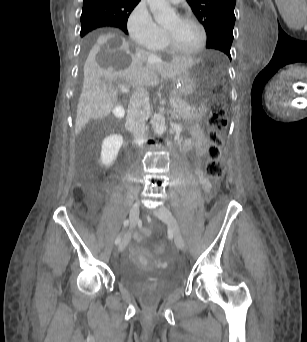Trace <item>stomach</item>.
Returning <instances> with one entry per match:
<instances>
[{"mask_svg": "<svg viewBox=\"0 0 307 342\" xmlns=\"http://www.w3.org/2000/svg\"><path fill=\"white\" fill-rule=\"evenodd\" d=\"M198 71L199 63L196 62L192 67L177 75L172 80L173 93L177 94L184 100H194Z\"/></svg>", "mask_w": 307, "mask_h": 342, "instance_id": "stomach-1", "label": "stomach"}]
</instances>
